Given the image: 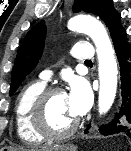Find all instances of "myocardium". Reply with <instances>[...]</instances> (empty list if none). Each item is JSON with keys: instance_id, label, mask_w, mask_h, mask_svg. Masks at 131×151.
Returning <instances> with one entry per match:
<instances>
[{"instance_id": "1", "label": "myocardium", "mask_w": 131, "mask_h": 151, "mask_svg": "<svg viewBox=\"0 0 131 151\" xmlns=\"http://www.w3.org/2000/svg\"><path fill=\"white\" fill-rule=\"evenodd\" d=\"M57 94H65L60 87L45 88L36 98L32 108V125L35 131L43 138L60 140L74 134L79 127L80 121L77 119L69 128L64 131H53L47 122V107L51 98Z\"/></svg>"}]
</instances>
